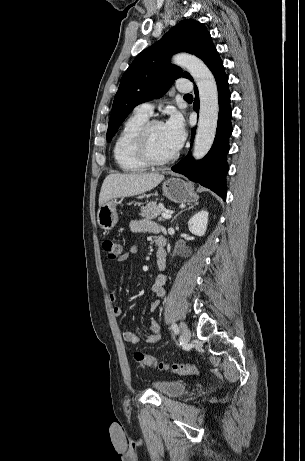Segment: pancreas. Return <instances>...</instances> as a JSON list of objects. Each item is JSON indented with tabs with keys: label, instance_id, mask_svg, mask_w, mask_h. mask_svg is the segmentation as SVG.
<instances>
[{
	"label": "pancreas",
	"instance_id": "1",
	"mask_svg": "<svg viewBox=\"0 0 305 461\" xmlns=\"http://www.w3.org/2000/svg\"><path fill=\"white\" fill-rule=\"evenodd\" d=\"M164 205L163 204H157L156 202H148L145 206H142L140 211V215L142 217H145L147 219H156L158 218V221H163V218L158 217L160 212L164 210Z\"/></svg>",
	"mask_w": 305,
	"mask_h": 461
}]
</instances>
